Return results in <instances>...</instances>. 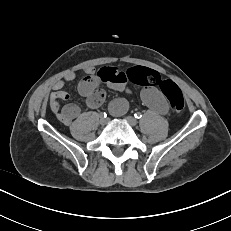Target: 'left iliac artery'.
<instances>
[{
    "label": "left iliac artery",
    "instance_id": "1",
    "mask_svg": "<svg viewBox=\"0 0 231 231\" xmlns=\"http://www.w3.org/2000/svg\"><path fill=\"white\" fill-rule=\"evenodd\" d=\"M134 117H135L136 119H141V118H142V114L139 113V112H137V113L134 114Z\"/></svg>",
    "mask_w": 231,
    "mask_h": 231
}]
</instances>
